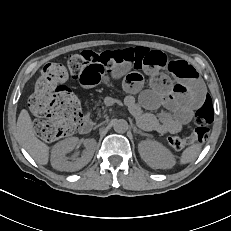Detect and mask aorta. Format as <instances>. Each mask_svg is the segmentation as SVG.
<instances>
[{
    "label": "aorta",
    "instance_id": "762f6f07",
    "mask_svg": "<svg viewBox=\"0 0 231 231\" xmlns=\"http://www.w3.org/2000/svg\"><path fill=\"white\" fill-rule=\"evenodd\" d=\"M128 122L124 119H115L113 121V129L117 133H125L128 130Z\"/></svg>",
    "mask_w": 231,
    "mask_h": 231
}]
</instances>
